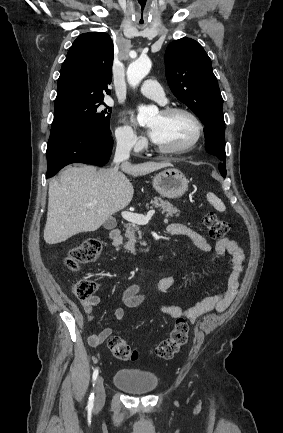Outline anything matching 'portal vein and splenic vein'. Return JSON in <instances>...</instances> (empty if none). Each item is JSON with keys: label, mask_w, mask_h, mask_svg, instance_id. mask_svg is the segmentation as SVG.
Instances as JSON below:
<instances>
[{"label": "portal vein and splenic vein", "mask_w": 283, "mask_h": 433, "mask_svg": "<svg viewBox=\"0 0 283 433\" xmlns=\"http://www.w3.org/2000/svg\"><path fill=\"white\" fill-rule=\"evenodd\" d=\"M89 204H97V200H93V202H89ZM155 210L151 208L148 210L146 217L145 214H137V212H128V210H123L121 212L123 219L126 221H130V223H137V225H143V223H149L151 217H153Z\"/></svg>", "instance_id": "portal-vein-and-splenic-vein-1"}]
</instances>
